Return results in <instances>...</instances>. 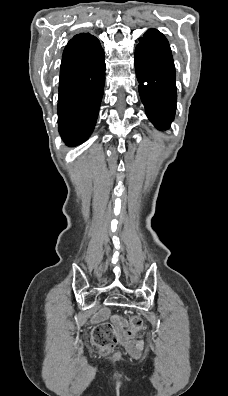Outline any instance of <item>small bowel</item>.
I'll list each match as a JSON object with an SVG mask.
<instances>
[{
	"label": "small bowel",
	"mask_w": 228,
	"mask_h": 396,
	"mask_svg": "<svg viewBox=\"0 0 228 396\" xmlns=\"http://www.w3.org/2000/svg\"><path fill=\"white\" fill-rule=\"evenodd\" d=\"M126 348L132 356L139 357L143 350V341L141 339H137L131 342H126Z\"/></svg>",
	"instance_id": "c3829d8e"
}]
</instances>
